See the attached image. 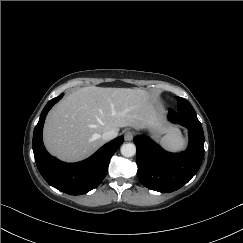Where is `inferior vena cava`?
Returning <instances> with one entry per match:
<instances>
[{
  "mask_svg": "<svg viewBox=\"0 0 243 243\" xmlns=\"http://www.w3.org/2000/svg\"><path fill=\"white\" fill-rule=\"evenodd\" d=\"M117 136V132L110 130V131H106L104 132L101 137L104 141H110L112 139H114Z\"/></svg>",
  "mask_w": 243,
  "mask_h": 243,
  "instance_id": "obj_1",
  "label": "inferior vena cava"
}]
</instances>
